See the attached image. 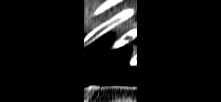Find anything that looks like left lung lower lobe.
<instances>
[{
    "label": "left lung lower lobe",
    "instance_id": "1",
    "mask_svg": "<svg viewBox=\"0 0 221 102\" xmlns=\"http://www.w3.org/2000/svg\"><path fill=\"white\" fill-rule=\"evenodd\" d=\"M132 46L123 45L116 50L103 51L93 65L79 78V85H137L143 79V67L137 60L133 65Z\"/></svg>",
    "mask_w": 221,
    "mask_h": 102
}]
</instances>
